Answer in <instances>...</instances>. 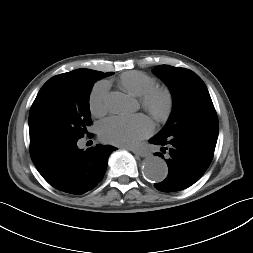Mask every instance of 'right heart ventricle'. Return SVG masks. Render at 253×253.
Segmentation results:
<instances>
[{"instance_id": "1", "label": "right heart ventricle", "mask_w": 253, "mask_h": 253, "mask_svg": "<svg viewBox=\"0 0 253 253\" xmlns=\"http://www.w3.org/2000/svg\"><path fill=\"white\" fill-rule=\"evenodd\" d=\"M120 86L128 93L141 97L156 86L155 78L140 71H128L119 78Z\"/></svg>"}]
</instances>
